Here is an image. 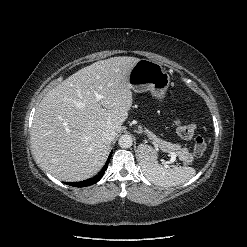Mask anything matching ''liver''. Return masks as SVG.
Instances as JSON below:
<instances>
[{
  "label": "liver",
  "mask_w": 247,
  "mask_h": 247,
  "mask_svg": "<svg viewBox=\"0 0 247 247\" xmlns=\"http://www.w3.org/2000/svg\"><path fill=\"white\" fill-rule=\"evenodd\" d=\"M139 60L123 56L97 61L43 97L34 115L31 145L45 171L68 182L100 171L111 144L103 132L121 131L133 103L129 75ZM95 93L101 95L99 101Z\"/></svg>",
  "instance_id": "6515ba94"
}]
</instances>
